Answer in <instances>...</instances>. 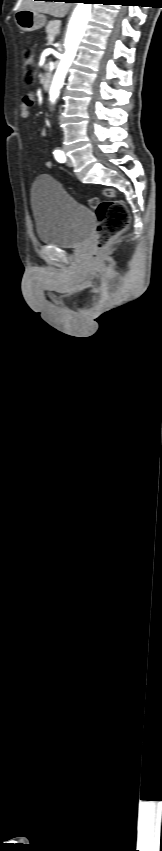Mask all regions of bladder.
Masks as SVG:
<instances>
[{
  "instance_id": "obj_1",
  "label": "bladder",
  "mask_w": 162,
  "mask_h": 851,
  "mask_svg": "<svg viewBox=\"0 0 162 851\" xmlns=\"http://www.w3.org/2000/svg\"><path fill=\"white\" fill-rule=\"evenodd\" d=\"M31 202L38 240L60 248H76L89 237L95 215L73 199L50 176L37 178L31 188Z\"/></svg>"
}]
</instances>
